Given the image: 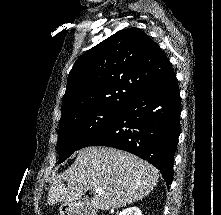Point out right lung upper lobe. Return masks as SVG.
Instances as JSON below:
<instances>
[{"label": "right lung upper lobe", "mask_w": 221, "mask_h": 215, "mask_svg": "<svg viewBox=\"0 0 221 215\" xmlns=\"http://www.w3.org/2000/svg\"><path fill=\"white\" fill-rule=\"evenodd\" d=\"M172 73L168 58L145 32L120 30L77 59L69 73L61 118L93 108L120 111Z\"/></svg>", "instance_id": "right-lung-upper-lobe-1"}]
</instances>
